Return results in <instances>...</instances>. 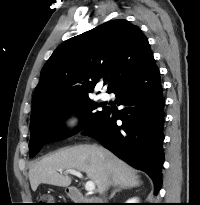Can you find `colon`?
Returning <instances> with one entry per match:
<instances>
[{"label": "colon", "instance_id": "5ec220e1", "mask_svg": "<svg viewBox=\"0 0 200 205\" xmlns=\"http://www.w3.org/2000/svg\"><path fill=\"white\" fill-rule=\"evenodd\" d=\"M40 202L41 205H52V198L50 196L45 195L41 198Z\"/></svg>", "mask_w": 200, "mask_h": 205}]
</instances>
